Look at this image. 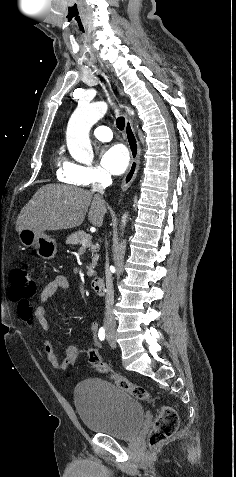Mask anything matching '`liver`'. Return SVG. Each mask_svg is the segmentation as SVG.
Returning <instances> with one entry per match:
<instances>
[{"instance_id": "1", "label": "liver", "mask_w": 236, "mask_h": 477, "mask_svg": "<svg viewBox=\"0 0 236 477\" xmlns=\"http://www.w3.org/2000/svg\"><path fill=\"white\" fill-rule=\"evenodd\" d=\"M90 206L88 219L94 226H102L106 206L92 191L63 184L41 187L22 208L16 231L30 229L36 233L46 230H65L80 226Z\"/></svg>"}]
</instances>
